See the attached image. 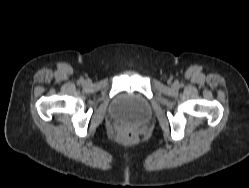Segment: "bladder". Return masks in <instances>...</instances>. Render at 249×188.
I'll return each instance as SVG.
<instances>
[{"label":"bladder","mask_w":249,"mask_h":188,"mask_svg":"<svg viewBox=\"0 0 249 188\" xmlns=\"http://www.w3.org/2000/svg\"><path fill=\"white\" fill-rule=\"evenodd\" d=\"M110 108L114 116L133 121L144 120L150 114V106L147 100L135 93L119 95L111 103Z\"/></svg>","instance_id":"obj_1"}]
</instances>
